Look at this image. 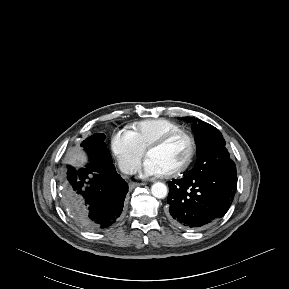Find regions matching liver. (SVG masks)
I'll list each match as a JSON object with an SVG mask.
<instances>
[{
  "label": "liver",
  "instance_id": "1",
  "mask_svg": "<svg viewBox=\"0 0 289 289\" xmlns=\"http://www.w3.org/2000/svg\"><path fill=\"white\" fill-rule=\"evenodd\" d=\"M84 161H86V159H85V156H84L82 153L76 152V153L73 155V158H72L73 164H75V165H80V164L83 163Z\"/></svg>",
  "mask_w": 289,
  "mask_h": 289
}]
</instances>
